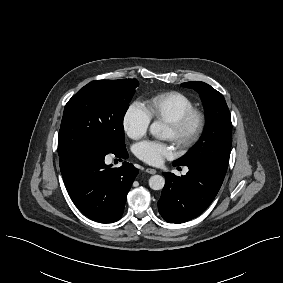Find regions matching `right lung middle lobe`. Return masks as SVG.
<instances>
[{
  "label": "right lung middle lobe",
  "mask_w": 283,
  "mask_h": 283,
  "mask_svg": "<svg viewBox=\"0 0 283 283\" xmlns=\"http://www.w3.org/2000/svg\"><path fill=\"white\" fill-rule=\"evenodd\" d=\"M138 85L136 79L97 80L81 88L64 109L60 159L83 147L108 152L124 148L123 118Z\"/></svg>",
  "instance_id": "dd1d6c3e"
}]
</instances>
